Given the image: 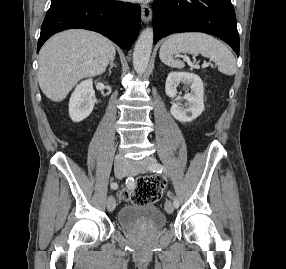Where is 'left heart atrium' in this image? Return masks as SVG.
Returning a JSON list of instances; mask_svg holds the SVG:
<instances>
[{
	"label": "left heart atrium",
	"instance_id": "39dd6f15",
	"mask_svg": "<svg viewBox=\"0 0 286 269\" xmlns=\"http://www.w3.org/2000/svg\"><path fill=\"white\" fill-rule=\"evenodd\" d=\"M130 1H144V0H130Z\"/></svg>",
	"mask_w": 286,
	"mask_h": 269
}]
</instances>
